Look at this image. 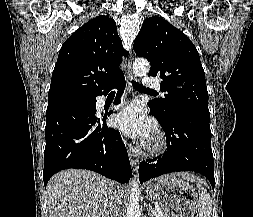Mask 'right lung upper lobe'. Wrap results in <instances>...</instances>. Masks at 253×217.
Masks as SVG:
<instances>
[{
	"label": "right lung upper lobe",
	"instance_id": "right-lung-upper-lobe-1",
	"mask_svg": "<svg viewBox=\"0 0 253 217\" xmlns=\"http://www.w3.org/2000/svg\"><path fill=\"white\" fill-rule=\"evenodd\" d=\"M116 23L101 15L75 31L62 45L52 73L48 102L94 97L123 75Z\"/></svg>",
	"mask_w": 253,
	"mask_h": 217
}]
</instances>
